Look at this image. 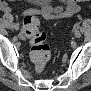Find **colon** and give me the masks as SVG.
Masks as SVG:
<instances>
[{"label": "colon", "instance_id": "obj_1", "mask_svg": "<svg viewBox=\"0 0 91 91\" xmlns=\"http://www.w3.org/2000/svg\"><path fill=\"white\" fill-rule=\"evenodd\" d=\"M21 32L30 40V57L35 70L42 72L51 58V48L47 42V34L40 30V22L35 14H27L24 17Z\"/></svg>", "mask_w": 91, "mask_h": 91}]
</instances>
